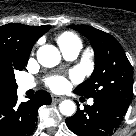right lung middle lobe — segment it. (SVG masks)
Segmentation results:
<instances>
[{"mask_svg":"<svg viewBox=\"0 0 136 136\" xmlns=\"http://www.w3.org/2000/svg\"><path fill=\"white\" fill-rule=\"evenodd\" d=\"M27 61H18L11 56L0 60V97L16 93L18 86L14 71L22 70Z\"/></svg>","mask_w":136,"mask_h":136,"instance_id":"right-lung-middle-lobe-1","label":"right lung middle lobe"}]
</instances>
